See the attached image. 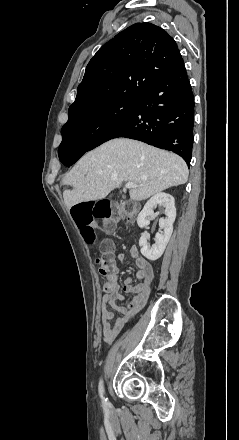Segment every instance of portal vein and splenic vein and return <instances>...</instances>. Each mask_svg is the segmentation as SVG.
<instances>
[{
    "label": "portal vein and splenic vein",
    "mask_w": 239,
    "mask_h": 440,
    "mask_svg": "<svg viewBox=\"0 0 239 440\" xmlns=\"http://www.w3.org/2000/svg\"><path fill=\"white\" fill-rule=\"evenodd\" d=\"M125 188H139L137 184H132V182H127Z\"/></svg>",
    "instance_id": "18ae733b"
}]
</instances>
